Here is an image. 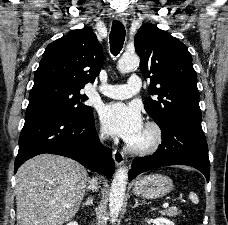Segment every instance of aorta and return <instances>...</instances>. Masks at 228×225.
<instances>
[{"instance_id":"762f6f07","label":"aorta","mask_w":228,"mask_h":225,"mask_svg":"<svg viewBox=\"0 0 228 225\" xmlns=\"http://www.w3.org/2000/svg\"><path fill=\"white\" fill-rule=\"evenodd\" d=\"M140 58L137 54H127L124 52L117 62V68L120 72H131L139 66ZM128 181L127 167H120L112 181L109 195V211L112 223H116L120 209L123 205L126 187Z\"/></svg>"}]
</instances>
